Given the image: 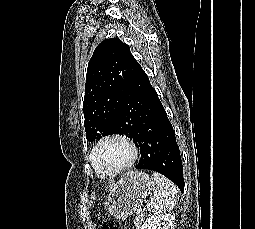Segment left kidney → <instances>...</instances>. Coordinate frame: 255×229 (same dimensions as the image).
Listing matches in <instances>:
<instances>
[{
	"instance_id": "5707ae66",
	"label": "left kidney",
	"mask_w": 255,
	"mask_h": 229,
	"mask_svg": "<svg viewBox=\"0 0 255 229\" xmlns=\"http://www.w3.org/2000/svg\"><path fill=\"white\" fill-rule=\"evenodd\" d=\"M174 214H156L148 218L141 229H174Z\"/></svg>"
}]
</instances>
